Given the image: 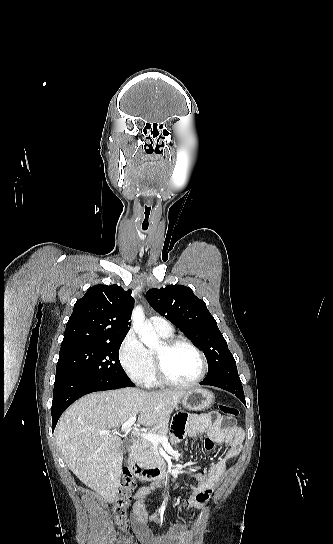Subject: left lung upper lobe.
I'll list each match as a JSON object with an SVG mask.
<instances>
[{
    "mask_svg": "<svg viewBox=\"0 0 333 544\" xmlns=\"http://www.w3.org/2000/svg\"><path fill=\"white\" fill-rule=\"evenodd\" d=\"M151 307L171 321L186 336L195 341L208 362L204 381L222 378L240 379L235 359L220 332L217 322L203 300L183 285L152 288L146 293Z\"/></svg>",
    "mask_w": 333,
    "mask_h": 544,
    "instance_id": "obj_1",
    "label": "left lung upper lobe"
}]
</instances>
